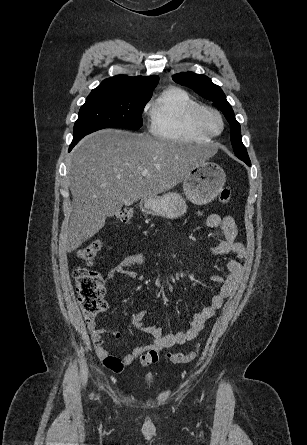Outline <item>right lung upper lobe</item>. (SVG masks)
<instances>
[{"label":"right lung upper lobe","mask_w":307,"mask_h":445,"mask_svg":"<svg viewBox=\"0 0 307 445\" xmlns=\"http://www.w3.org/2000/svg\"><path fill=\"white\" fill-rule=\"evenodd\" d=\"M159 81L158 76H137L129 77L126 75H117L107 78L92 92L93 95H112L137 98H151L152 91Z\"/></svg>","instance_id":"1"}]
</instances>
